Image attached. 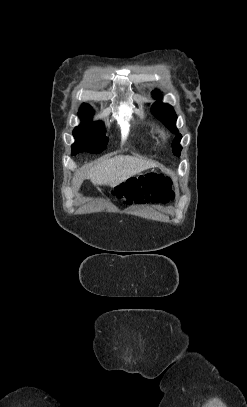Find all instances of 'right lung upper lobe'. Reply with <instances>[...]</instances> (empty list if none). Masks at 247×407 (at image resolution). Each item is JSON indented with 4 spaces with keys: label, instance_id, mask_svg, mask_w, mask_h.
I'll list each match as a JSON object with an SVG mask.
<instances>
[{
    "label": "right lung upper lobe",
    "instance_id": "cb5924a9",
    "mask_svg": "<svg viewBox=\"0 0 247 407\" xmlns=\"http://www.w3.org/2000/svg\"><path fill=\"white\" fill-rule=\"evenodd\" d=\"M82 107H90L89 105H87V104H83L82 106H81V108Z\"/></svg>",
    "mask_w": 247,
    "mask_h": 407
}]
</instances>
